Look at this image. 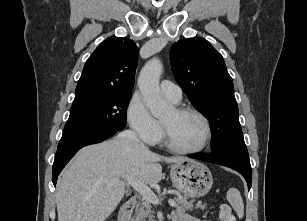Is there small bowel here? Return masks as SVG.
<instances>
[{"label":"small bowel","instance_id":"small-bowel-1","mask_svg":"<svg viewBox=\"0 0 307 221\" xmlns=\"http://www.w3.org/2000/svg\"><path fill=\"white\" fill-rule=\"evenodd\" d=\"M172 221H210V220H202L182 210H176L172 214Z\"/></svg>","mask_w":307,"mask_h":221}]
</instances>
